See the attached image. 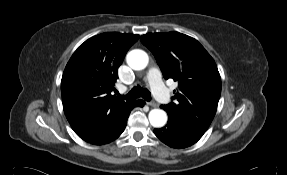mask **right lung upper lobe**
<instances>
[{"label":"right lung upper lobe","instance_id":"obj_1","mask_svg":"<svg viewBox=\"0 0 287 175\" xmlns=\"http://www.w3.org/2000/svg\"><path fill=\"white\" fill-rule=\"evenodd\" d=\"M139 35L103 33L72 55L61 80L63 109L74 132L90 141L110 129L135 100L112 95L118 68Z\"/></svg>","mask_w":287,"mask_h":175}]
</instances>
